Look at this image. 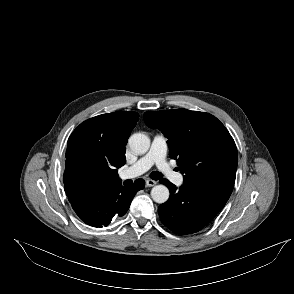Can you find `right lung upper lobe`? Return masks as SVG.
Returning <instances> with one entry per match:
<instances>
[{"instance_id":"1","label":"right lung upper lobe","mask_w":294,"mask_h":294,"mask_svg":"<svg viewBox=\"0 0 294 294\" xmlns=\"http://www.w3.org/2000/svg\"><path fill=\"white\" fill-rule=\"evenodd\" d=\"M136 112L102 114L81 123L67 142L63 176L71 205L121 184L117 169L126 163L125 146L138 121Z\"/></svg>"}]
</instances>
